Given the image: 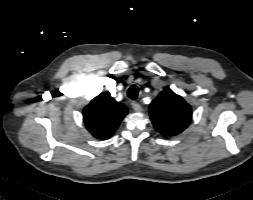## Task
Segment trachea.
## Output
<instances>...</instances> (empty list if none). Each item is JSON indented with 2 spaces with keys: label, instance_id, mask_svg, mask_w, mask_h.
<instances>
[{
  "label": "trachea",
  "instance_id": "obj_1",
  "mask_svg": "<svg viewBox=\"0 0 253 200\" xmlns=\"http://www.w3.org/2000/svg\"><path fill=\"white\" fill-rule=\"evenodd\" d=\"M138 93H139L138 87L136 85H132L127 91V96L132 100H136L138 97Z\"/></svg>",
  "mask_w": 253,
  "mask_h": 200
}]
</instances>
